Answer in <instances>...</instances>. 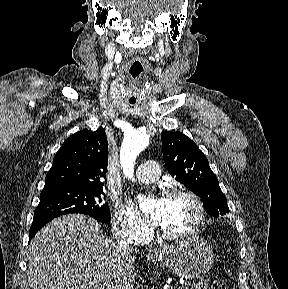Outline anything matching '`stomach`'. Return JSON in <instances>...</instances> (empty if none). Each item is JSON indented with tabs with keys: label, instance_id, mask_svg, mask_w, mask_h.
<instances>
[{
	"label": "stomach",
	"instance_id": "0dacf381",
	"mask_svg": "<svg viewBox=\"0 0 288 289\" xmlns=\"http://www.w3.org/2000/svg\"><path fill=\"white\" fill-rule=\"evenodd\" d=\"M214 263V252L208 242L192 237L172 247L164 265L185 279H196L206 274Z\"/></svg>",
	"mask_w": 288,
	"mask_h": 289
}]
</instances>
